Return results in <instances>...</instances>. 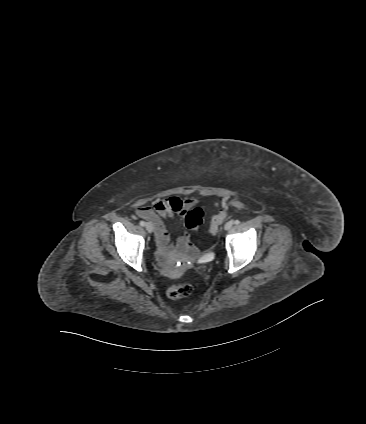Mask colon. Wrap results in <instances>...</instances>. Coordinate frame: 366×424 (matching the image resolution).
I'll return each instance as SVG.
<instances>
[{
  "instance_id": "1",
  "label": "colon",
  "mask_w": 366,
  "mask_h": 424,
  "mask_svg": "<svg viewBox=\"0 0 366 424\" xmlns=\"http://www.w3.org/2000/svg\"><path fill=\"white\" fill-rule=\"evenodd\" d=\"M227 217L226 211H221L215 215L208 226L209 234L213 235L218 230L219 226ZM204 219L203 210L199 207H194L186 211L184 215V223L187 229L197 230L198 227L202 224ZM189 251L194 254L196 253V248L192 245L189 246ZM192 286L188 283H181L172 285L169 287L167 293L171 298H183L187 297L192 293Z\"/></svg>"
}]
</instances>
